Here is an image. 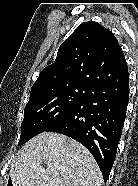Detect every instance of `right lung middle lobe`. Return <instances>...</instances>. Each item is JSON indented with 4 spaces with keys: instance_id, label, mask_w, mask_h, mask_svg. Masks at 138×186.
Returning <instances> with one entry per match:
<instances>
[{
    "instance_id": "1",
    "label": "right lung middle lobe",
    "mask_w": 138,
    "mask_h": 186,
    "mask_svg": "<svg viewBox=\"0 0 138 186\" xmlns=\"http://www.w3.org/2000/svg\"><path fill=\"white\" fill-rule=\"evenodd\" d=\"M87 91L85 86L69 85L30 94L24 110L18 145L46 131L68 115L83 101Z\"/></svg>"
}]
</instances>
